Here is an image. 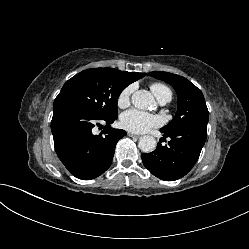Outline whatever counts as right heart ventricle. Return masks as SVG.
<instances>
[{
    "label": "right heart ventricle",
    "mask_w": 249,
    "mask_h": 249,
    "mask_svg": "<svg viewBox=\"0 0 249 249\" xmlns=\"http://www.w3.org/2000/svg\"><path fill=\"white\" fill-rule=\"evenodd\" d=\"M150 89L157 99L165 95L170 96V98L172 97V92L170 88L167 87L165 84L153 83L151 84Z\"/></svg>",
    "instance_id": "e07e8e85"
}]
</instances>
